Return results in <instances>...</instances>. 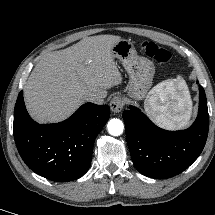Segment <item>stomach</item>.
I'll return each mask as SVG.
<instances>
[{
	"mask_svg": "<svg viewBox=\"0 0 215 215\" xmlns=\"http://www.w3.org/2000/svg\"><path fill=\"white\" fill-rule=\"evenodd\" d=\"M113 57L119 59L129 75L127 95L134 100H142L152 85L155 73L154 64L147 58L137 55L132 42L118 41L111 49Z\"/></svg>",
	"mask_w": 215,
	"mask_h": 215,
	"instance_id": "1",
	"label": "stomach"
}]
</instances>
